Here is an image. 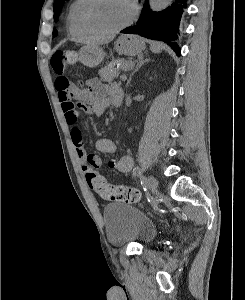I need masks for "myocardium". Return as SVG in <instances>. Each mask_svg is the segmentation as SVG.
<instances>
[{
  "label": "myocardium",
  "instance_id": "f54148a6",
  "mask_svg": "<svg viewBox=\"0 0 245 300\" xmlns=\"http://www.w3.org/2000/svg\"><path fill=\"white\" fill-rule=\"evenodd\" d=\"M93 2H94V0H84V3L79 11L80 24L88 33L93 34V35L108 36V35H113V34L119 33L122 30L129 27L135 21V19L137 18V15H138V7H137L136 3L134 2V0H128V3L130 4L131 9H132V14H131L130 18L124 24H122L116 28L110 29V30L97 29V28L92 27L89 24L88 19H87L88 9Z\"/></svg>",
  "mask_w": 245,
  "mask_h": 300
}]
</instances>
